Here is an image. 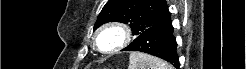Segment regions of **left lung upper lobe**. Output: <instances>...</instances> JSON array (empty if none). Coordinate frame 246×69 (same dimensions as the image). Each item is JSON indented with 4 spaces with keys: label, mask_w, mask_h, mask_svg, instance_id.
Instances as JSON below:
<instances>
[{
    "label": "left lung upper lobe",
    "mask_w": 246,
    "mask_h": 69,
    "mask_svg": "<svg viewBox=\"0 0 246 69\" xmlns=\"http://www.w3.org/2000/svg\"><path fill=\"white\" fill-rule=\"evenodd\" d=\"M171 14L165 0H109L100 12L94 30L106 22L129 24L133 35L168 21Z\"/></svg>",
    "instance_id": "1"
}]
</instances>
